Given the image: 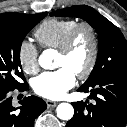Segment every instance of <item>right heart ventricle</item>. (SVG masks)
I'll use <instances>...</instances> for the list:
<instances>
[{
    "instance_id": "obj_1",
    "label": "right heart ventricle",
    "mask_w": 127,
    "mask_h": 127,
    "mask_svg": "<svg viewBox=\"0 0 127 127\" xmlns=\"http://www.w3.org/2000/svg\"><path fill=\"white\" fill-rule=\"evenodd\" d=\"M77 24L74 19H46L36 28L34 35L41 47L58 49Z\"/></svg>"
}]
</instances>
